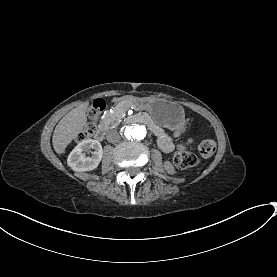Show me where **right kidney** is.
<instances>
[{"label": "right kidney", "instance_id": "ca27d5eb", "mask_svg": "<svg viewBox=\"0 0 277 277\" xmlns=\"http://www.w3.org/2000/svg\"><path fill=\"white\" fill-rule=\"evenodd\" d=\"M93 149V151H91ZM91 152V156H86ZM103 149L99 141L87 139L81 141L69 154L67 164L74 171H90L98 167L102 160Z\"/></svg>", "mask_w": 277, "mask_h": 277}]
</instances>
